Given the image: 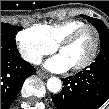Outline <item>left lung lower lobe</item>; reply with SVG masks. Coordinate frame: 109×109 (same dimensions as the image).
I'll return each instance as SVG.
<instances>
[{
  "label": "left lung lower lobe",
  "mask_w": 109,
  "mask_h": 109,
  "mask_svg": "<svg viewBox=\"0 0 109 109\" xmlns=\"http://www.w3.org/2000/svg\"><path fill=\"white\" fill-rule=\"evenodd\" d=\"M63 80L52 95L57 109H97L109 99V48L101 49L90 67Z\"/></svg>",
  "instance_id": "0a47b994"
}]
</instances>
